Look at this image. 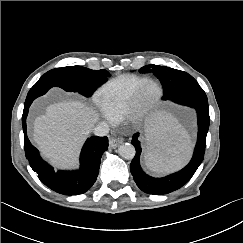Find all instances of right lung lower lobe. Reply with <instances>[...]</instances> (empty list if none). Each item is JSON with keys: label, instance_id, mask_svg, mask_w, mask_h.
Masks as SVG:
<instances>
[{"label": "right lung lower lobe", "instance_id": "98d812e1", "mask_svg": "<svg viewBox=\"0 0 243 243\" xmlns=\"http://www.w3.org/2000/svg\"><path fill=\"white\" fill-rule=\"evenodd\" d=\"M49 88H31L22 115L24 132V148L26 158L33 171L38 174L40 181L53 191L63 195H77L86 192L96 181L100 161L104 151L108 149V138L92 136L85 142L81 156V167L77 171H55L39 155L38 150L30 143L26 132V117L28 110L37 97L45 94Z\"/></svg>", "mask_w": 243, "mask_h": 243}]
</instances>
